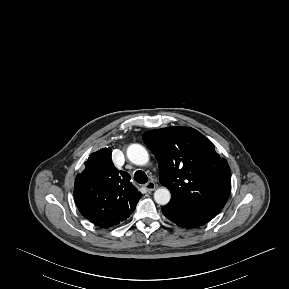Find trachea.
I'll return each instance as SVG.
<instances>
[{
  "mask_svg": "<svg viewBox=\"0 0 289 289\" xmlns=\"http://www.w3.org/2000/svg\"><path fill=\"white\" fill-rule=\"evenodd\" d=\"M134 180L139 184H145L148 181V177L145 172L138 170L134 174Z\"/></svg>",
  "mask_w": 289,
  "mask_h": 289,
  "instance_id": "trachea-1",
  "label": "trachea"
}]
</instances>
